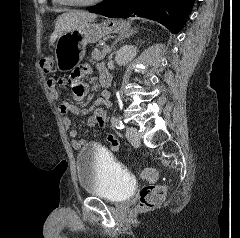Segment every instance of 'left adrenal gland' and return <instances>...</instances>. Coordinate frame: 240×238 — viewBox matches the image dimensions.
Segmentation results:
<instances>
[{
    "mask_svg": "<svg viewBox=\"0 0 240 238\" xmlns=\"http://www.w3.org/2000/svg\"><path fill=\"white\" fill-rule=\"evenodd\" d=\"M134 33L133 30L127 31L125 33L119 34L118 37L115 39V41L113 42L112 46H111V50L110 52H112V50L114 49V46L121 40L125 39V38H129L130 36H132ZM113 53L110 54L109 59H111Z\"/></svg>",
    "mask_w": 240,
    "mask_h": 238,
    "instance_id": "a2214340",
    "label": "left adrenal gland"
}]
</instances>
